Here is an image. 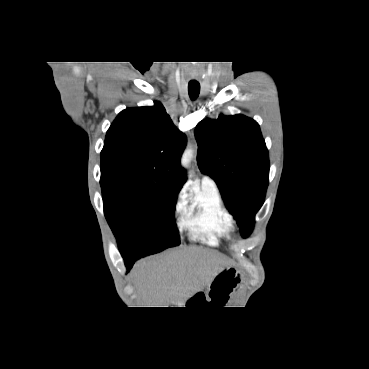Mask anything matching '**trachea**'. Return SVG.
I'll use <instances>...</instances> for the list:
<instances>
[{
    "mask_svg": "<svg viewBox=\"0 0 369 369\" xmlns=\"http://www.w3.org/2000/svg\"><path fill=\"white\" fill-rule=\"evenodd\" d=\"M188 93L192 100H195L200 93V84L199 83H189L188 85Z\"/></svg>",
    "mask_w": 369,
    "mask_h": 369,
    "instance_id": "trachea-1",
    "label": "trachea"
}]
</instances>
